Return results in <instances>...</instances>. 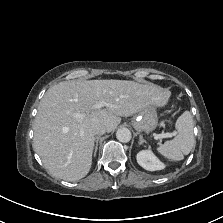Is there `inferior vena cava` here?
<instances>
[{"label":"inferior vena cava","mask_w":223,"mask_h":223,"mask_svg":"<svg viewBox=\"0 0 223 223\" xmlns=\"http://www.w3.org/2000/svg\"><path fill=\"white\" fill-rule=\"evenodd\" d=\"M107 131L106 127L102 124H97L93 127V133L95 135H103Z\"/></svg>","instance_id":"1"}]
</instances>
